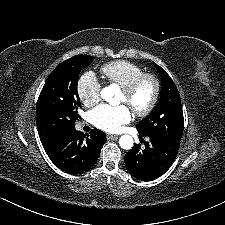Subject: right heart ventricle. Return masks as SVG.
Segmentation results:
<instances>
[{"instance_id":"obj_1","label":"right heart ventricle","mask_w":225,"mask_h":225,"mask_svg":"<svg viewBox=\"0 0 225 225\" xmlns=\"http://www.w3.org/2000/svg\"><path fill=\"white\" fill-rule=\"evenodd\" d=\"M101 72L108 82L117 84L121 88L131 80L144 73L142 67L126 60H116L104 64Z\"/></svg>"}]
</instances>
